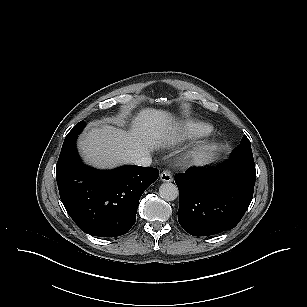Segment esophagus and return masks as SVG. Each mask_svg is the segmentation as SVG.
Here are the masks:
<instances>
[{"instance_id":"esophagus-1","label":"esophagus","mask_w":307,"mask_h":307,"mask_svg":"<svg viewBox=\"0 0 307 307\" xmlns=\"http://www.w3.org/2000/svg\"><path fill=\"white\" fill-rule=\"evenodd\" d=\"M160 179L163 182H172L173 181V177L172 174L169 170H164L161 174H160Z\"/></svg>"}]
</instances>
